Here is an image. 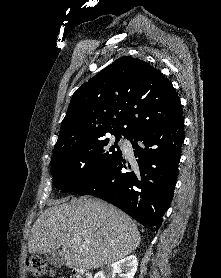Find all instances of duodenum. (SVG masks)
<instances>
[{
    "label": "duodenum",
    "mask_w": 221,
    "mask_h": 278,
    "mask_svg": "<svg viewBox=\"0 0 221 278\" xmlns=\"http://www.w3.org/2000/svg\"><path fill=\"white\" fill-rule=\"evenodd\" d=\"M74 277L75 278H92V275L85 269H75Z\"/></svg>",
    "instance_id": "410a0bca"
}]
</instances>
